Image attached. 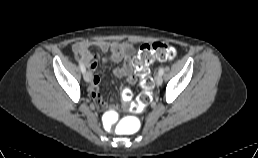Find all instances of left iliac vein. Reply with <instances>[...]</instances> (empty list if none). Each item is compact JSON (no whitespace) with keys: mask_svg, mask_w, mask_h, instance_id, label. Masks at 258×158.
<instances>
[{"mask_svg":"<svg viewBox=\"0 0 258 158\" xmlns=\"http://www.w3.org/2000/svg\"><path fill=\"white\" fill-rule=\"evenodd\" d=\"M162 81H163V79H162V76L161 75H156V77H155V82H156V85H161L162 84Z\"/></svg>","mask_w":258,"mask_h":158,"instance_id":"obj_1","label":"left iliac vein"}]
</instances>
